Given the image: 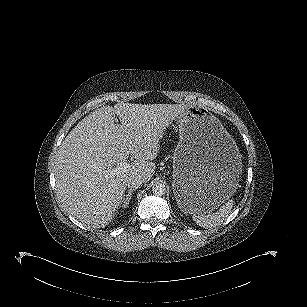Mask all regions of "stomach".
Instances as JSON below:
<instances>
[{
  "instance_id": "obj_1",
  "label": "stomach",
  "mask_w": 307,
  "mask_h": 307,
  "mask_svg": "<svg viewBox=\"0 0 307 307\" xmlns=\"http://www.w3.org/2000/svg\"><path fill=\"white\" fill-rule=\"evenodd\" d=\"M179 144L173 156V193L187 213L211 211L235 193L241 155L219 119L200 105H186L177 118Z\"/></svg>"
}]
</instances>
